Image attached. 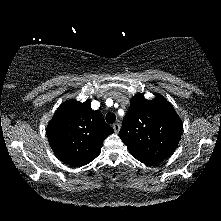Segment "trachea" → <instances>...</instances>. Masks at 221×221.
<instances>
[{
  "instance_id": "1",
  "label": "trachea",
  "mask_w": 221,
  "mask_h": 221,
  "mask_svg": "<svg viewBox=\"0 0 221 221\" xmlns=\"http://www.w3.org/2000/svg\"><path fill=\"white\" fill-rule=\"evenodd\" d=\"M115 120H116V116L114 113H108L106 115V121L108 124H113L115 122Z\"/></svg>"
}]
</instances>
